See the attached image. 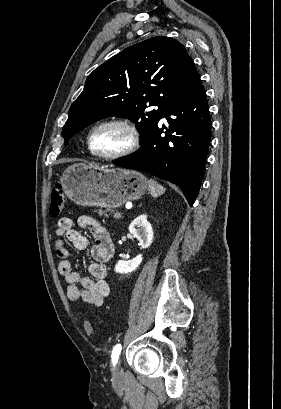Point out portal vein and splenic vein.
I'll use <instances>...</instances> for the list:
<instances>
[{
  "label": "portal vein and splenic vein",
  "instance_id": "portal-vein-and-splenic-vein-1",
  "mask_svg": "<svg viewBox=\"0 0 281 409\" xmlns=\"http://www.w3.org/2000/svg\"><path fill=\"white\" fill-rule=\"evenodd\" d=\"M112 216H113V217H116V219H120V217L123 216V213H122V212H119V213L113 212V213H112Z\"/></svg>",
  "mask_w": 281,
  "mask_h": 409
}]
</instances>
